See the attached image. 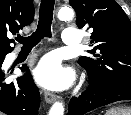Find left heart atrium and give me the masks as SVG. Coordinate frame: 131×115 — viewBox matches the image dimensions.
<instances>
[{"label":"left heart atrium","mask_w":131,"mask_h":115,"mask_svg":"<svg viewBox=\"0 0 131 115\" xmlns=\"http://www.w3.org/2000/svg\"><path fill=\"white\" fill-rule=\"evenodd\" d=\"M35 79L39 84L50 89H61L72 81L70 70L62 67L54 56L44 57L34 69Z\"/></svg>","instance_id":"left-heart-atrium-1"}]
</instances>
